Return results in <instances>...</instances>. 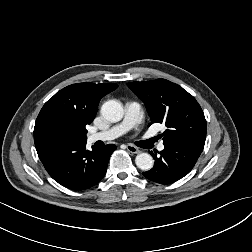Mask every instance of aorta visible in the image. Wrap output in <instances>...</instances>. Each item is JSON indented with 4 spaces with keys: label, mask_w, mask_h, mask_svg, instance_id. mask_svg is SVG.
Returning <instances> with one entry per match:
<instances>
[{
    "label": "aorta",
    "mask_w": 252,
    "mask_h": 252,
    "mask_svg": "<svg viewBox=\"0 0 252 252\" xmlns=\"http://www.w3.org/2000/svg\"><path fill=\"white\" fill-rule=\"evenodd\" d=\"M123 107L115 100L106 101L101 107V115L109 122L115 123L123 117ZM137 167L143 171H148L153 167L154 161L150 154L140 153L135 158Z\"/></svg>",
    "instance_id": "aorta-1"
}]
</instances>
